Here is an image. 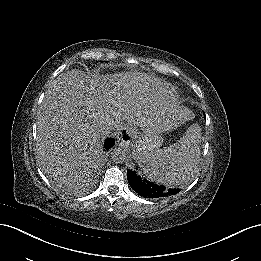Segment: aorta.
<instances>
[{"instance_id": "1", "label": "aorta", "mask_w": 261, "mask_h": 261, "mask_svg": "<svg viewBox=\"0 0 261 261\" xmlns=\"http://www.w3.org/2000/svg\"><path fill=\"white\" fill-rule=\"evenodd\" d=\"M111 157L116 163H124L128 160V153L122 144H117L111 153Z\"/></svg>"}]
</instances>
